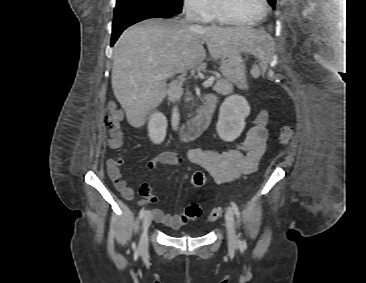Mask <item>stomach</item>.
Returning <instances> with one entry per match:
<instances>
[{
  "label": "stomach",
  "mask_w": 366,
  "mask_h": 283,
  "mask_svg": "<svg viewBox=\"0 0 366 283\" xmlns=\"http://www.w3.org/2000/svg\"><path fill=\"white\" fill-rule=\"evenodd\" d=\"M220 70L227 80L235 83L241 82V75L244 71V63L240 51L233 50L230 55L221 57Z\"/></svg>",
  "instance_id": "obj_1"
}]
</instances>
